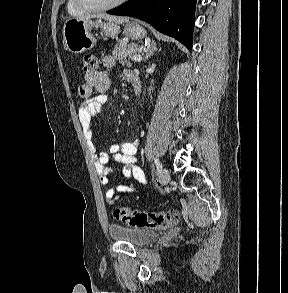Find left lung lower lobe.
<instances>
[{"instance_id": "1", "label": "left lung lower lobe", "mask_w": 288, "mask_h": 293, "mask_svg": "<svg viewBox=\"0 0 288 293\" xmlns=\"http://www.w3.org/2000/svg\"><path fill=\"white\" fill-rule=\"evenodd\" d=\"M196 0H129L108 14L131 16L192 49Z\"/></svg>"}]
</instances>
